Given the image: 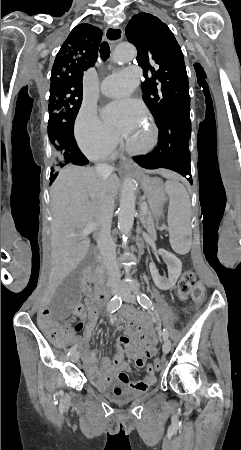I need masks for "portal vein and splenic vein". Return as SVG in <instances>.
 <instances>
[{
    "mask_svg": "<svg viewBox=\"0 0 241 450\" xmlns=\"http://www.w3.org/2000/svg\"><path fill=\"white\" fill-rule=\"evenodd\" d=\"M147 206H148L147 202H144L143 204H141V206H140L141 207V212H140L141 216H144L145 213H147V211H148L146 208ZM159 208L163 209L164 205L160 204ZM97 226H98V224H92V226H87V228H85V230H83L82 234H80V238H86V236H88V234H91V232H95V230H97ZM70 236H71V238H75V236H77V234H70Z\"/></svg>",
    "mask_w": 241,
    "mask_h": 450,
    "instance_id": "18ae733b",
    "label": "portal vein and splenic vein"
}]
</instances>
